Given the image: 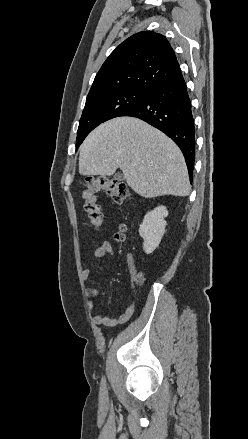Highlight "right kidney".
Returning a JSON list of instances; mask_svg holds the SVG:
<instances>
[{
    "instance_id": "1",
    "label": "right kidney",
    "mask_w": 248,
    "mask_h": 439,
    "mask_svg": "<svg viewBox=\"0 0 248 439\" xmlns=\"http://www.w3.org/2000/svg\"><path fill=\"white\" fill-rule=\"evenodd\" d=\"M168 210L165 206H158L148 212L139 228V234L143 238V250L146 254H151L160 244L165 233Z\"/></svg>"
}]
</instances>
